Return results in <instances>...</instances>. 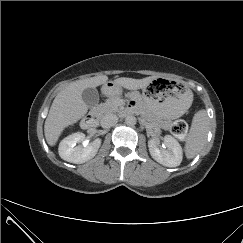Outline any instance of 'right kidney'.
Masks as SVG:
<instances>
[{
    "label": "right kidney",
    "instance_id": "right-kidney-1",
    "mask_svg": "<svg viewBox=\"0 0 243 243\" xmlns=\"http://www.w3.org/2000/svg\"><path fill=\"white\" fill-rule=\"evenodd\" d=\"M101 145L99 138L92 142L85 140V134L73 133L64 138L59 144L60 157L70 163L81 164L92 159Z\"/></svg>",
    "mask_w": 243,
    "mask_h": 243
}]
</instances>
